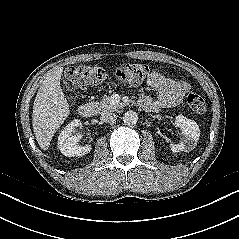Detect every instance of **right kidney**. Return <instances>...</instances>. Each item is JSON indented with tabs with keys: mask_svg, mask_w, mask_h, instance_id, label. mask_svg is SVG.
Wrapping results in <instances>:
<instances>
[{
	"mask_svg": "<svg viewBox=\"0 0 239 239\" xmlns=\"http://www.w3.org/2000/svg\"><path fill=\"white\" fill-rule=\"evenodd\" d=\"M80 125V120L74 119L66 125L60 133L58 137V148L63 155L68 157L83 156L91 151V145H78L79 137L72 136V131Z\"/></svg>",
	"mask_w": 239,
	"mask_h": 239,
	"instance_id": "1",
	"label": "right kidney"
}]
</instances>
